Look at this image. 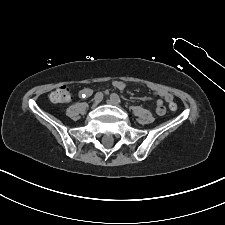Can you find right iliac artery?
I'll list each match as a JSON object with an SVG mask.
<instances>
[{
    "label": "right iliac artery",
    "instance_id": "1",
    "mask_svg": "<svg viewBox=\"0 0 225 225\" xmlns=\"http://www.w3.org/2000/svg\"><path fill=\"white\" fill-rule=\"evenodd\" d=\"M82 97H85V94H82ZM95 100H99L101 101L103 99V93L102 92H97L95 94V97H94Z\"/></svg>",
    "mask_w": 225,
    "mask_h": 225
}]
</instances>
